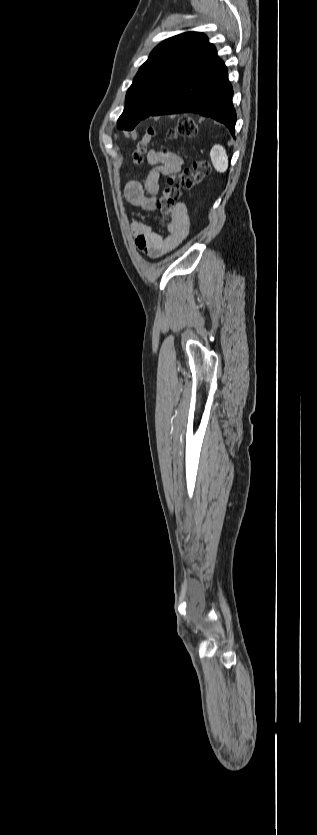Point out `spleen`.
I'll return each instance as SVG.
<instances>
[{
	"label": "spleen",
	"instance_id": "obj_1",
	"mask_svg": "<svg viewBox=\"0 0 317 835\" xmlns=\"http://www.w3.org/2000/svg\"><path fill=\"white\" fill-rule=\"evenodd\" d=\"M210 158L215 170L219 173L226 172L228 168V156L223 146L215 144L210 151Z\"/></svg>",
	"mask_w": 317,
	"mask_h": 835
}]
</instances>
